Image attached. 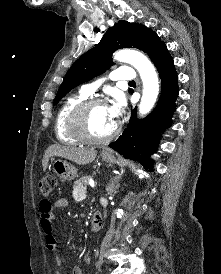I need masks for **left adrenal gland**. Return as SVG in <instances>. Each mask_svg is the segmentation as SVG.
I'll return each instance as SVG.
<instances>
[{"label": "left adrenal gland", "mask_w": 221, "mask_h": 274, "mask_svg": "<svg viewBox=\"0 0 221 274\" xmlns=\"http://www.w3.org/2000/svg\"><path fill=\"white\" fill-rule=\"evenodd\" d=\"M120 179H121V175L115 177V179L108 185V187L106 189L108 195L113 194L117 189H119V187H120V183H119Z\"/></svg>", "instance_id": "left-adrenal-gland-1"}]
</instances>
